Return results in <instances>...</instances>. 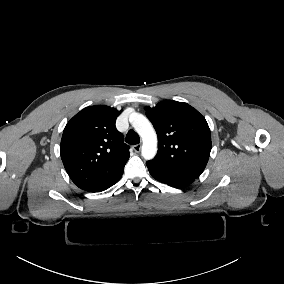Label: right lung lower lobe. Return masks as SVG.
I'll use <instances>...</instances> for the list:
<instances>
[{
    "mask_svg": "<svg viewBox=\"0 0 284 284\" xmlns=\"http://www.w3.org/2000/svg\"><path fill=\"white\" fill-rule=\"evenodd\" d=\"M123 172L117 176L107 187L103 188L102 190L100 191H103V190H106L107 188L111 187L112 185H114L116 182H118L122 176ZM99 192V191H98Z\"/></svg>",
    "mask_w": 284,
    "mask_h": 284,
    "instance_id": "obj_1",
    "label": "right lung lower lobe"
}]
</instances>
